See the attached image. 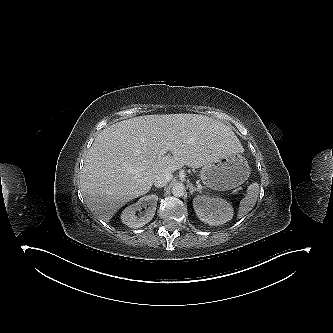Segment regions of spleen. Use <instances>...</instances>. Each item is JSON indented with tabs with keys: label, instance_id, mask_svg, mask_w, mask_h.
I'll list each match as a JSON object with an SVG mask.
<instances>
[{
	"label": "spleen",
	"instance_id": "obj_1",
	"mask_svg": "<svg viewBox=\"0 0 333 333\" xmlns=\"http://www.w3.org/2000/svg\"><path fill=\"white\" fill-rule=\"evenodd\" d=\"M258 195H259L258 183H252L250 186H248L246 196L240 201L238 209V218L243 217L252 210V208L256 204Z\"/></svg>",
	"mask_w": 333,
	"mask_h": 333
}]
</instances>
